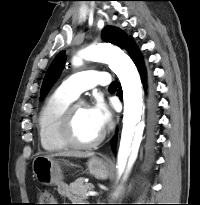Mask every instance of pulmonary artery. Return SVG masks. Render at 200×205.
I'll use <instances>...</instances> for the list:
<instances>
[{
  "instance_id": "e3ab8cb5",
  "label": "pulmonary artery",
  "mask_w": 200,
  "mask_h": 205,
  "mask_svg": "<svg viewBox=\"0 0 200 205\" xmlns=\"http://www.w3.org/2000/svg\"><path fill=\"white\" fill-rule=\"evenodd\" d=\"M110 83V75L104 71L87 70L76 73L65 79L60 89L73 98H77L83 91L97 85L106 86Z\"/></svg>"
}]
</instances>
